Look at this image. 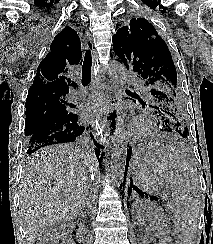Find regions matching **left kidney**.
I'll use <instances>...</instances> for the list:
<instances>
[{
	"label": "left kidney",
	"instance_id": "5707ae66",
	"mask_svg": "<svg viewBox=\"0 0 213 244\" xmlns=\"http://www.w3.org/2000/svg\"><path fill=\"white\" fill-rule=\"evenodd\" d=\"M132 214L136 224H143L149 219L154 226L156 232L153 237L158 239V244H172L169 231L165 219L158 207L149 201H135L133 204ZM141 243L147 244L145 239H141Z\"/></svg>",
	"mask_w": 213,
	"mask_h": 244
}]
</instances>
